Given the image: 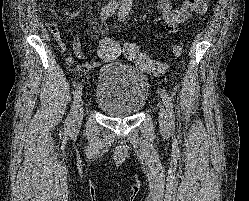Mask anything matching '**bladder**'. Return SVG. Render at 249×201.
I'll return each instance as SVG.
<instances>
[{
  "mask_svg": "<svg viewBox=\"0 0 249 201\" xmlns=\"http://www.w3.org/2000/svg\"><path fill=\"white\" fill-rule=\"evenodd\" d=\"M149 88L142 71L119 61H109L98 73L95 103L109 117H131L146 106Z\"/></svg>",
  "mask_w": 249,
  "mask_h": 201,
  "instance_id": "obj_1",
  "label": "bladder"
}]
</instances>
